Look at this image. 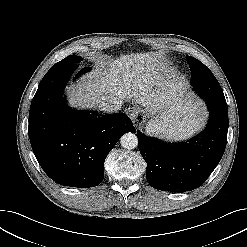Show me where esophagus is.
Wrapping results in <instances>:
<instances>
[{"mask_svg": "<svg viewBox=\"0 0 247 247\" xmlns=\"http://www.w3.org/2000/svg\"><path fill=\"white\" fill-rule=\"evenodd\" d=\"M129 118L132 120L133 123L137 121L138 113H139V108L134 106V107H129L125 110Z\"/></svg>", "mask_w": 247, "mask_h": 247, "instance_id": "1", "label": "esophagus"}]
</instances>
